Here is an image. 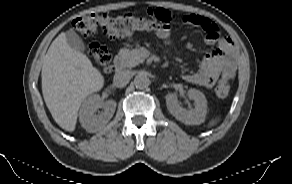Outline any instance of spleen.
<instances>
[{"mask_svg": "<svg viewBox=\"0 0 292 184\" xmlns=\"http://www.w3.org/2000/svg\"><path fill=\"white\" fill-rule=\"evenodd\" d=\"M219 119H214L209 123V127L214 126Z\"/></svg>", "mask_w": 292, "mask_h": 184, "instance_id": "spleen-1", "label": "spleen"}]
</instances>
